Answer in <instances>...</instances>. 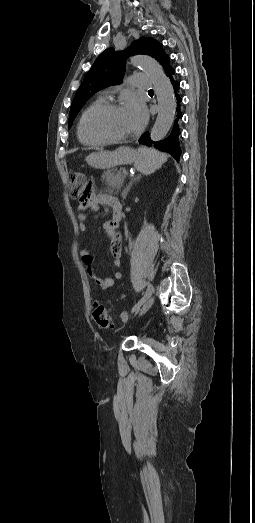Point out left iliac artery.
Wrapping results in <instances>:
<instances>
[{"mask_svg": "<svg viewBox=\"0 0 255 523\" xmlns=\"http://www.w3.org/2000/svg\"><path fill=\"white\" fill-rule=\"evenodd\" d=\"M153 292H154V288H147L144 296L132 308V312H135L136 310H138L140 308V306L152 295Z\"/></svg>", "mask_w": 255, "mask_h": 523, "instance_id": "1", "label": "left iliac artery"}]
</instances>
